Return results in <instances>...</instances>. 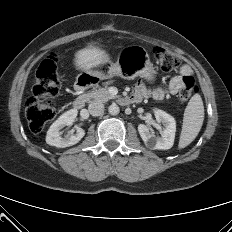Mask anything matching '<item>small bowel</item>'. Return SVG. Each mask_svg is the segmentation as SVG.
I'll use <instances>...</instances> for the list:
<instances>
[{"label": "small bowel", "instance_id": "1", "mask_svg": "<svg viewBox=\"0 0 232 232\" xmlns=\"http://www.w3.org/2000/svg\"><path fill=\"white\" fill-rule=\"evenodd\" d=\"M192 74V69L189 65L185 64L180 69V75L171 78L165 85L150 88L142 81L136 83L133 95L142 98L152 97L160 100L169 94H176L182 86V78Z\"/></svg>", "mask_w": 232, "mask_h": 232}]
</instances>
